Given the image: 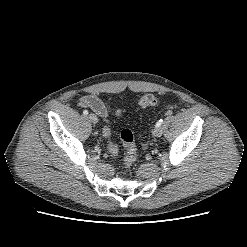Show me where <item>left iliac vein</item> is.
I'll use <instances>...</instances> for the list:
<instances>
[{
	"label": "left iliac vein",
	"mask_w": 247,
	"mask_h": 247,
	"mask_svg": "<svg viewBox=\"0 0 247 247\" xmlns=\"http://www.w3.org/2000/svg\"><path fill=\"white\" fill-rule=\"evenodd\" d=\"M163 131L161 127H155L153 130V135L156 137H160L162 135Z\"/></svg>",
	"instance_id": "obj_1"
}]
</instances>
